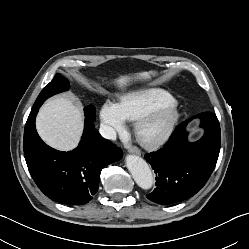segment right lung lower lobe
Masks as SVG:
<instances>
[{"instance_id":"obj_1","label":"right lung lower lobe","mask_w":249,"mask_h":249,"mask_svg":"<svg viewBox=\"0 0 249 249\" xmlns=\"http://www.w3.org/2000/svg\"><path fill=\"white\" fill-rule=\"evenodd\" d=\"M42 105L35 103L24 130V155L29 172L50 199L70 205L89 202L98 190L101 170L122 158L120 148L104 139L85 117L84 132L77 148L62 152L45 144L35 128Z\"/></svg>"}]
</instances>
